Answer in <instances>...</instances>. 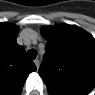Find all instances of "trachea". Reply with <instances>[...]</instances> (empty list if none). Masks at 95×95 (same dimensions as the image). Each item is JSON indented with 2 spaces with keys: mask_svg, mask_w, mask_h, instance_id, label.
I'll use <instances>...</instances> for the list:
<instances>
[{
  "mask_svg": "<svg viewBox=\"0 0 95 95\" xmlns=\"http://www.w3.org/2000/svg\"><path fill=\"white\" fill-rule=\"evenodd\" d=\"M27 57L31 60H34L37 57V51L35 49H30L26 53Z\"/></svg>",
  "mask_w": 95,
  "mask_h": 95,
  "instance_id": "obj_1",
  "label": "trachea"
}]
</instances>
